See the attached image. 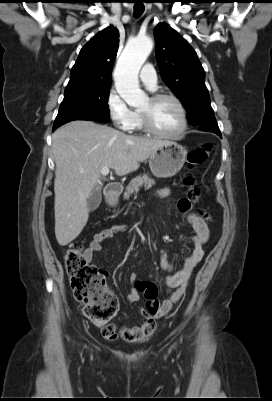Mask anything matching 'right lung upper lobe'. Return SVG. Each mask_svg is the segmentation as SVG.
I'll use <instances>...</instances> for the list:
<instances>
[{
	"label": "right lung upper lobe",
	"mask_w": 272,
	"mask_h": 401,
	"mask_svg": "<svg viewBox=\"0 0 272 401\" xmlns=\"http://www.w3.org/2000/svg\"><path fill=\"white\" fill-rule=\"evenodd\" d=\"M119 46L118 30L109 26L84 45L72 67L70 81L65 92L108 85Z\"/></svg>",
	"instance_id": "obj_1"
}]
</instances>
